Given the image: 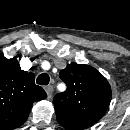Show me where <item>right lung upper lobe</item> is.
<instances>
[{"mask_svg":"<svg viewBox=\"0 0 130 130\" xmlns=\"http://www.w3.org/2000/svg\"><path fill=\"white\" fill-rule=\"evenodd\" d=\"M33 73L21 70L16 58L0 57V129L13 130L27 119L33 102L47 97Z\"/></svg>","mask_w":130,"mask_h":130,"instance_id":"obj_1","label":"right lung upper lobe"}]
</instances>
